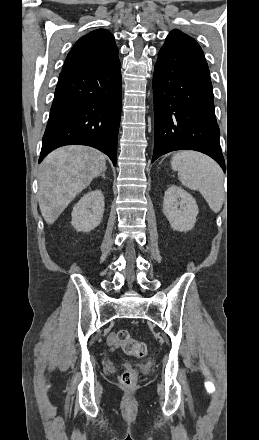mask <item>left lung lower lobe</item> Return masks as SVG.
I'll list each match as a JSON object with an SVG mask.
<instances>
[{
    "mask_svg": "<svg viewBox=\"0 0 259 440\" xmlns=\"http://www.w3.org/2000/svg\"><path fill=\"white\" fill-rule=\"evenodd\" d=\"M155 139L152 162L176 150L209 155L225 171L209 68L198 43L169 34L154 68Z\"/></svg>",
    "mask_w": 259,
    "mask_h": 440,
    "instance_id": "left-lung-lower-lobe-1",
    "label": "left lung lower lobe"
}]
</instances>
